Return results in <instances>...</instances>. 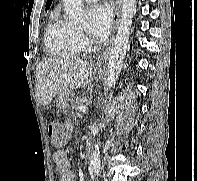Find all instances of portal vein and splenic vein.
I'll return each mask as SVG.
<instances>
[{
	"label": "portal vein and splenic vein",
	"mask_w": 197,
	"mask_h": 181,
	"mask_svg": "<svg viewBox=\"0 0 197 181\" xmlns=\"http://www.w3.org/2000/svg\"><path fill=\"white\" fill-rule=\"evenodd\" d=\"M86 110H87V107L86 106H82L80 108V112H82V113L86 112Z\"/></svg>",
	"instance_id": "obj_1"
}]
</instances>
